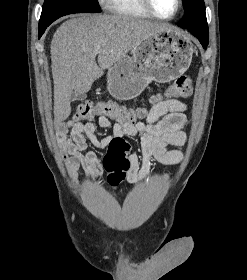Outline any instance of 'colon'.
Listing matches in <instances>:
<instances>
[{"mask_svg": "<svg viewBox=\"0 0 247 280\" xmlns=\"http://www.w3.org/2000/svg\"><path fill=\"white\" fill-rule=\"evenodd\" d=\"M192 90L191 78L182 75L174 81L164 94L152 96L150 102L155 105L162 102L164 97L187 98L192 94ZM146 115L147 111L144 108H129L113 101H85L77 106L73 119L74 121L93 120L97 116H107L119 122L136 124ZM130 148V144L124 139H114L108 146L102 165L107 172L111 190L117 189V185L125 179L129 171L130 160L128 154L131 152Z\"/></svg>", "mask_w": 247, "mask_h": 280, "instance_id": "1", "label": "colon"}]
</instances>
